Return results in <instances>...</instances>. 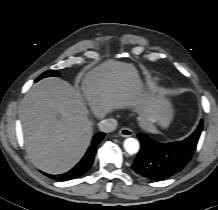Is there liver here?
<instances>
[{
    "label": "liver",
    "mask_w": 218,
    "mask_h": 210,
    "mask_svg": "<svg viewBox=\"0 0 218 210\" xmlns=\"http://www.w3.org/2000/svg\"><path fill=\"white\" fill-rule=\"evenodd\" d=\"M83 94L60 78H46L28 91L21 104V123L28 156L40 170L61 174L83 157L93 131L85 100L97 118L114 109L131 107L140 126L155 131L173 118L168 100L148 94L134 65L107 60L89 71L82 81Z\"/></svg>",
    "instance_id": "liver-1"
}]
</instances>
